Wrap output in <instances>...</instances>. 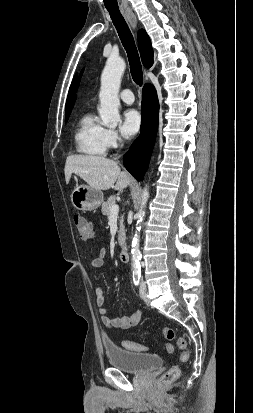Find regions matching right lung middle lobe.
<instances>
[{
  "instance_id": "1",
  "label": "right lung middle lobe",
  "mask_w": 253,
  "mask_h": 413,
  "mask_svg": "<svg viewBox=\"0 0 253 413\" xmlns=\"http://www.w3.org/2000/svg\"><path fill=\"white\" fill-rule=\"evenodd\" d=\"M65 118H66V121H67V119L69 118V115H68V116H65Z\"/></svg>"
}]
</instances>
